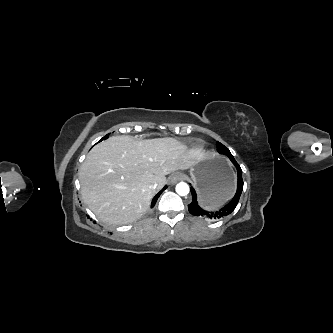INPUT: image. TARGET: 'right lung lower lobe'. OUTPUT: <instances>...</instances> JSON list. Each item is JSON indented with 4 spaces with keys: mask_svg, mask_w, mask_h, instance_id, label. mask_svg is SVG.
Listing matches in <instances>:
<instances>
[{
    "mask_svg": "<svg viewBox=\"0 0 333 333\" xmlns=\"http://www.w3.org/2000/svg\"><path fill=\"white\" fill-rule=\"evenodd\" d=\"M167 188V186H165L152 200V203H151V207H153L158 199V197L160 196V194Z\"/></svg>",
    "mask_w": 333,
    "mask_h": 333,
    "instance_id": "right-lung-lower-lobe-1",
    "label": "right lung lower lobe"
}]
</instances>
